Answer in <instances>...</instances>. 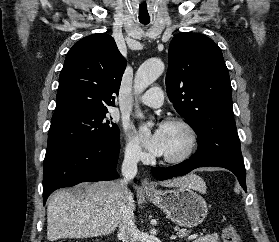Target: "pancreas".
<instances>
[{
	"label": "pancreas",
	"mask_w": 279,
	"mask_h": 242,
	"mask_svg": "<svg viewBox=\"0 0 279 242\" xmlns=\"http://www.w3.org/2000/svg\"><path fill=\"white\" fill-rule=\"evenodd\" d=\"M178 231L180 237L185 236L187 231L184 229L175 228ZM219 236L217 233H213L210 235L201 236L198 239L194 240L193 242H218Z\"/></svg>",
	"instance_id": "pancreas-1"
}]
</instances>
